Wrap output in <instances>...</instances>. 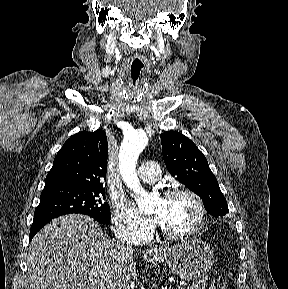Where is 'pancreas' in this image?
<instances>
[{
  "label": "pancreas",
  "instance_id": "cf45deb5",
  "mask_svg": "<svg viewBox=\"0 0 288 289\" xmlns=\"http://www.w3.org/2000/svg\"><path fill=\"white\" fill-rule=\"evenodd\" d=\"M207 280L203 279L198 283H193L192 285H188L186 289H206Z\"/></svg>",
  "mask_w": 288,
  "mask_h": 289
}]
</instances>
